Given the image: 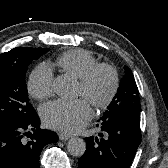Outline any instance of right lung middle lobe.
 Listing matches in <instances>:
<instances>
[{
  "label": "right lung middle lobe",
  "mask_w": 168,
  "mask_h": 168,
  "mask_svg": "<svg viewBox=\"0 0 168 168\" xmlns=\"http://www.w3.org/2000/svg\"><path fill=\"white\" fill-rule=\"evenodd\" d=\"M48 48L18 47L0 56V120L28 121L37 115L28 101L25 74Z\"/></svg>",
  "instance_id": "right-lung-middle-lobe-1"
}]
</instances>
